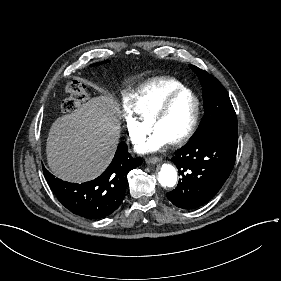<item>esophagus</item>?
Here are the masks:
<instances>
[{
	"label": "esophagus",
	"instance_id": "34e87169",
	"mask_svg": "<svg viewBox=\"0 0 281 281\" xmlns=\"http://www.w3.org/2000/svg\"><path fill=\"white\" fill-rule=\"evenodd\" d=\"M161 160V158H159V157H149L146 161L148 162V163H157V162H159Z\"/></svg>",
	"mask_w": 281,
	"mask_h": 281
}]
</instances>
